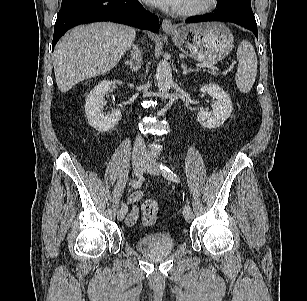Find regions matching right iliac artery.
<instances>
[{"mask_svg": "<svg viewBox=\"0 0 307 301\" xmlns=\"http://www.w3.org/2000/svg\"><path fill=\"white\" fill-rule=\"evenodd\" d=\"M142 183H143V178H139L138 180H134L131 183V185L134 188H139V187H141ZM121 209L124 210L125 212H127V206L125 204L121 205Z\"/></svg>", "mask_w": 307, "mask_h": 301, "instance_id": "obj_1", "label": "right iliac artery"}]
</instances>
